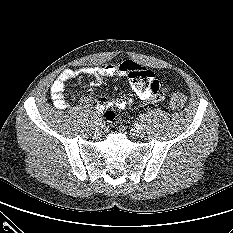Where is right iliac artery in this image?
Returning a JSON list of instances; mask_svg holds the SVG:
<instances>
[{
  "mask_svg": "<svg viewBox=\"0 0 233 233\" xmlns=\"http://www.w3.org/2000/svg\"><path fill=\"white\" fill-rule=\"evenodd\" d=\"M93 118L95 120H100V113L99 112H95L94 115H93Z\"/></svg>",
  "mask_w": 233,
  "mask_h": 233,
  "instance_id": "1",
  "label": "right iliac artery"
}]
</instances>
